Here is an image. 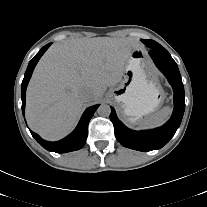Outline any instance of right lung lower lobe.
Instances as JSON below:
<instances>
[{
	"mask_svg": "<svg viewBox=\"0 0 207 207\" xmlns=\"http://www.w3.org/2000/svg\"><path fill=\"white\" fill-rule=\"evenodd\" d=\"M51 43L45 45L36 55L35 57L29 62V65L27 67V70L24 75V79L22 81L21 86V99H22V112L24 115L25 110V93L26 88L28 85V82L31 78L33 69L35 68L38 60L40 57L44 54V52L49 48ZM99 107V105H94L86 109L84 114L82 115L79 124L77 125L76 129L66 138L57 141V142H49L45 141L40 138V136L32 131V136L36 139V141L43 146L48 151L56 152V153H66L70 151H75L81 149L87 139L88 134V123L92 116L94 115L96 109Z\"/></svg>",
	"mask_w": 207,
	"mask_h": 207,
	"instance_id": "98d812e1",
	"label": "right lung lower lobe"
}]
</instances>
